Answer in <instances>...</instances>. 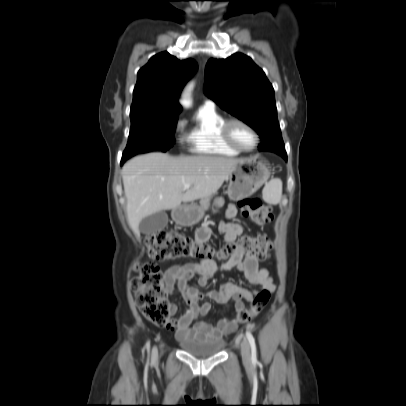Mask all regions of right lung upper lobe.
<instances>
[{"label": "right lung upper lobe", "instance_id": "cb5924a9", "mask_svg": "<svg viewBox=\"0 0 406 406\" xmlns=\"http://www.w3.org/2000/svg\"><path fill=\"white\" fill-rule=\"evenodd\" d=\"M196 70L193 59L180 61L168 52L153 56L138 72L131 114L178 116V96Z\"/></svg>", "mask_w": 406, "mask_h": 406}]
</instances>
